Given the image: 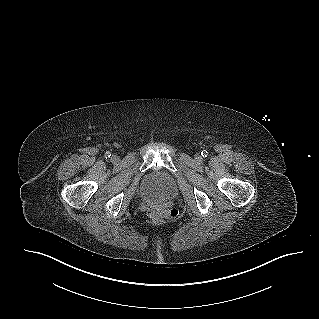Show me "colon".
I'll return each instance as SVG.
<instances>
[{
	"mask_svg": "<svg viewBox=\"0 0 319 319\" xmlns=\"http://www.w3.org/2000/svg\"><path fill=\"white\" fill-rule=\"evenodd\" d=\"M148 215L149 217H151L152 219H161L164 217H174L176 216V212L173 210H166L164 208L161 207H153L148 211Z\"/></svg>",
	"mask_w": 319,
	"mask_h": 319,
	"instance_id": "colon-1",
	"label": "colon"
}]
</instances>
